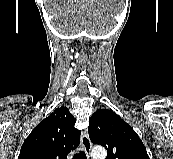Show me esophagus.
<instances>
[{"instance_id":"34e87169","label":"esophagus","mask_w":173,"mask_h":159,"mask_svg":"<svg viewBox=\"0 0 173 159\" xmlns=\"http://www.w3.org/2000/svg\"><path fill=\"white\" fill-rule=\"evenodd\" d=\"M81 144L82 147L84 149V152L87 155V159H91V148H92V144L88 135V132L85 130L84 132H82L81 135Z\"/></svg>"}]
</instances>
